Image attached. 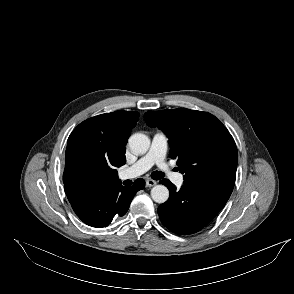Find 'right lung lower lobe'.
<instances>
[{"mask_svg":"<svg viewBox=\"0 0 294 294\" xmlns=\"http://www.w3.org/2000/svg\"><path fill=\"white\" fill-rule=\"evenodd\" d=\"M145 187L143 179H137L133 186L119 184L96 190L83 198L79 204H71L76 215L92 227H107L114 217L123 216L137 191ZM70 191H66L68 195Z\"/></svg>","mask_w":294,"mask_h":294,"instance_id":"1","label":"right lung lower lobe"}]
</instances>
